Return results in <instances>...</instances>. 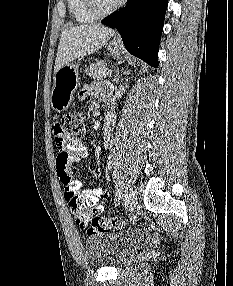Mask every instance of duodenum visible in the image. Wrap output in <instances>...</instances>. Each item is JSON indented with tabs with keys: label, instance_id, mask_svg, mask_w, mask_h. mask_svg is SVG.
Instances as JSON below:
<instances>
[{
	"label": "duodenum",
	"instance_id": "duodenum-1",
	"mask_svg": "<svg viewBox=\"0 0 233 286\" xmlns=\"http://www.w3.org/2000/svg\"><path fill=\"white\" fill-rule=\"evenodd\" d=\"M113 119H114V112L111 108H108L107 112H106V118H105L106 124L110 125L112 123Z\"/></svg>",
	"mask_w": 233,
	"mask_h": 286
}]
</instances>
